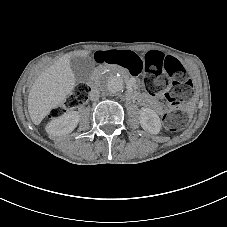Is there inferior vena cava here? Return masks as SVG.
<instances>
[{
    "instance_id": "1",
    "label": "inferior vena cava",
    "mask_w": 227,
    "mask_h": 227,
    "mask_svg": "<svg viewBox=\"0 0 227 227\" xmlns=\"http://www.w3.org/2000/svg\"><path fill=\"white\" fill-rule=\"evenodd\" d=\"M89 97L92 101H98L100 98V92L98 89H91L89 92Z\"/></svg>"
}]
</instances>
